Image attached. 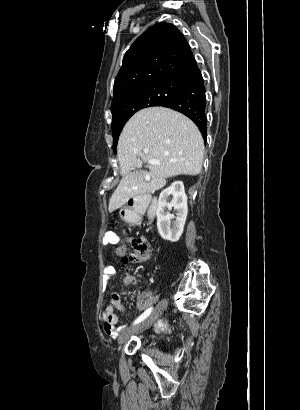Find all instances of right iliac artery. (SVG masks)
Returning a JSON list of instances; mask_svg holds the SVG:
<instances>
[{"label": "right iliac artery", "mask_w": 300, "mask_h": 410, "mask_svg": "<svg viewBox=\"0 0 300 410\" xmlns=\"http://www.w3.org/2000/svg\"><path fill=\"white\" fill-rule=\"evenodd\" d=\"M153 307L148 308L141 316H139L133 323V325L140 323L144 319H146L150 313L152 312Z\"/></svg>", "instance_id": "obj_1"}]
</instances>
